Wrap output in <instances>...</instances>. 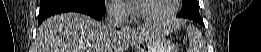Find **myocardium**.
<instances>
[{
  "label": "myocardium",
  "mask_w": 261,
  "mask_h": 52,
  "mask_svg": "<svg viewBox=\"0 0 261 52\" xmlns=\"http://www.w3.org/2000/svg\"><path fill=\"white\" fill-rule=\"evenodd\" d=\"M137 2L138 1L130 2L131 11L137 21L150 23V24H161V23H165V22L171 20L177 14L180 0H171L170 10L161 16H155V17H147V16L141 15L138 12Z\"/></svg>",
  "instance_id": "obj_1"
}]
</instances>
